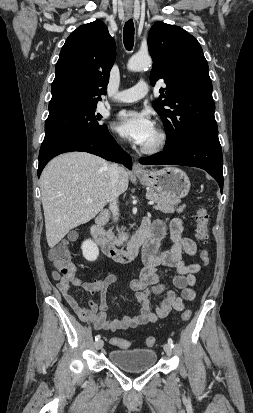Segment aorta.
Here are the masks:
<instances>
[{
    "label": "aorta",
    "instance_id": "1",
    "mask_svg": "<svg viewBox=\"0 0 253 413\" xmlns=\"http://www.w3.org/2000/svg\"><path fill=\"white\" fill-rule=\"evenodd\" d=\"M152 64V59L149 55H141V54H136L133 55L127 64V68L130 71H141L143 69H146L150 67Z\"/></svg>",
    "mask_w": 253,
    "mask_h": 413
}]
</instances>
